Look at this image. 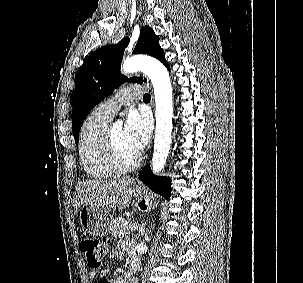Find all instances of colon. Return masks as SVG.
<instances>
[{
  "label": "colon",
  "instance_id": "1",
  "mask_svg": "<svg viewBox=\"0 0 303 283\" xmlns=\"http://www.w3.org/2000/svg\"><path fill=\"white\" fill-rule=\"evenodd\" d=\"M79 247L91 267H99L108 252L106 242L96 238H82ZM98 283H110V281L102 279Z\"/></svg>",
  "mask_w": 303,
  "mask_h": 283
}]
</instances>
